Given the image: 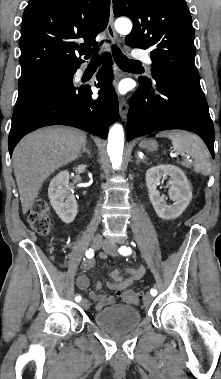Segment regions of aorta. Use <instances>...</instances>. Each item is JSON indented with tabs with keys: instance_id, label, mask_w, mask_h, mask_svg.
<instances>
[{
	"instance_id": "obj_1",
	"label": "aorta",
	"mask_w": 221,
	"mask_h": 379,
	"mask_svg": "<svg viewBox=\"0 0 221 379\" xmlns=\"http://www.w3.org/2000/svg\"><path fill=\"white\" fill-rule=\"evenodd\" d=\"M115 29L122 34L132 30V23L127 18H119L115 22ZM124 149V130L122 125L114 124L108 134L107 151L114 169H120Z\"/></svg>"
}]
</instances>
